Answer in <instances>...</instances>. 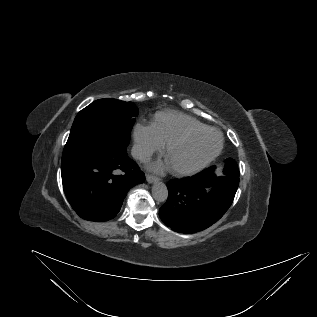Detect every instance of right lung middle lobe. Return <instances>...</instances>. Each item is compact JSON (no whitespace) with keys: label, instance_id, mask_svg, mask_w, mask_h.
<instances>
[{"label":"right lung middle lobe","instance_id":"1","mask_svg":"<svg viewBox=\"0 0 317 317\" xmlns=\"http://www.w3.org/2000/svg\"><path fill=\"white\" fill-rule=\"evenodd\" d=\"M138 115L132 102L96 100L81 110L72 125L62 166L79 162L101 150H126Z\"/></svg>","mask_w":317,"mask_h":317}]
</instances>
